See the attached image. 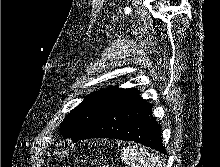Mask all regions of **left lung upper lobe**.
Instances as JSON below:
<instances>
[{
	"instance_id": "1",
	"label": "left lung upper lobe",
	"mask_w": 220,
	"mask_h": 167,
	"mask_svg": "<svg viewBox=\"0 0 220 167\" xmlns=\"http://www.w3.org/2000/svg\"><path fill=\"white\" fill-rule=\"evenodd\" d=\"M123 90L117 87L103 89L85 98L65 117L60 125L61 135L73 142L81 139Z\"/></svg>"
}]
</instances>
